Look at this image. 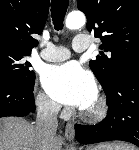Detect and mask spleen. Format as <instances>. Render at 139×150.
Listing matches in <instances>:
<instances>
[{"instance_id": "3e777b00", "label": "spleen", "mask_w": 139, "mask_h": 150, "mask_svg": "<svg viewBox=\"0 0 139 150\" xmlns=\"http://www.w3.org/2000/svg\"><path fill=\"white\" fill-rule=\"evenodd\" d=\"M113 149L114 150H134L133 147L127 145V144H123V143H115L113 144Z\"/></svg>"}]
</instances>
